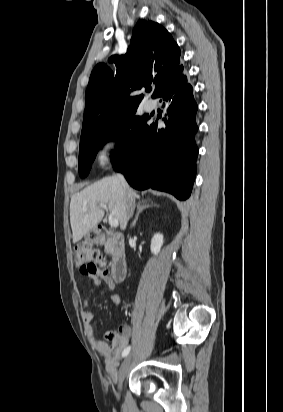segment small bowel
<instances>
[{
	"mask_svg": "<svg viewBox=\"0 0 283 412\" xmlns=\"http://www.w3.org/2000/svg\"><path fill=\"white\" fill-rule=\"evenodd\" d=\"M94 282L95 285H99L104 282L110 289H114L115 283L112 278L108 275H88ZM111 300L114 304H121L122 300L118 294H112ZM85 310L82 311V320L84 324V329L95 349L101 354L105 361V370L108 380L115 381L118 377V361L123 351L129 342L132 335V328L129 325H121L119 327V333L114 341L110 344L101 341L97 338L94 328V313L88 309L89 300L84 301Z\"/></svg>",
	"mask_w": 283,
	"mask_h": 412,
	"instance_id": "c3829d8e",
	"label": "small bowel"
}]
</instances>
